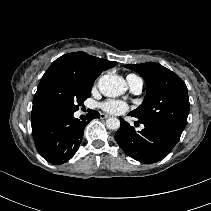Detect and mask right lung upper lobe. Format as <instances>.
Instances as JSON below:
<instances>
[{
  "label": "right lung upper lobe",
  "mask_w": 211,
  "mask_h": 211,
  "mask_svg": "<svg viewBox=\"0 0 211 211\" xmlns=\"http://www.w3.org/2000/svg\"><path fill=\"white\" fill-rule=\"evenodd\" d=\"M116 65L114 61H108L88 55L85 52H73L56 59L44 73L34 97L31 112V120L44 117L40 109V97L46 84L53 78L71 77L83 83H92L109 68Z\"/></svg>",
  "instance_id": "1"
}]
</instances>
